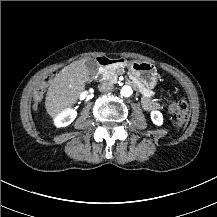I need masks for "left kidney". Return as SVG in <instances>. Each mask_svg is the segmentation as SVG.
Wrapping results in <instances>:
<instances>
[{
	"label": "left kidney",
	"instance_id": "5707ae66",
	"mask_svg": "<svg viewBox=\"0 0 217 217\" xmlns=\"http://www.w3.org/2000/svg\"><path fill=\"white\" fill-rule=\"evenodd\" d=\"M150 118L152 123L157 127H161L164 124V117L161 111L158 110L150 111Z\"/></svg>",
	"mask_w": 217,
	"mask_h": 217
}]
</instances>
